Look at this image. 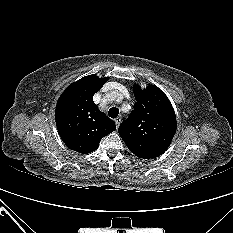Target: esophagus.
Returning a JSON list of instances; mask_svg holds the SVG:
<instances>
[{
  "label": "esophagus",
  "mask_w": 233,
  "mask_h": 233,
  "mask_svg": "<svg viewBox=\"0 0 233 233\" xmlns=\"http://www.w3.org/2000/svg\"><path fill=\"white\" fill-rule=\"evenodd\" d=\"M120 123H121V118H120V117H117V118L115 119V124H116L117 128L119 127Z\"/></svg>",
  "instance_id": "1"
}]
</instances>
